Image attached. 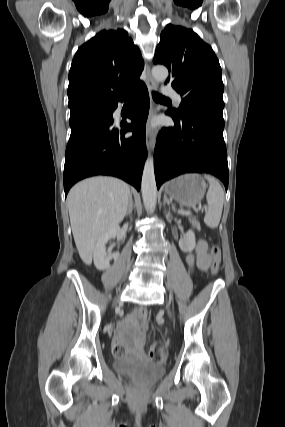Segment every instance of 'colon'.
<instances>
[{"instance_id":"colon-1","label":"colon","mask_w":285,"mask_h":427,"mask_svg":"<svg viewBox=\"0 0 285 427\" xmlns=\"http://www.w3.org/2000/svg\"><path fill=\"white\" fill-rule=\"evenodd\" d=\"M211 255V273L217 274L220 268V262H221V250L219 246L214 245L211 248L210 251ZM113 352L118 357H124L126 354V348L120 341H116L113 346ZM149 355L150 358L158 363H161L165 359V349L162 343L160 342H154L151 344L149 348Z\"/></svg>"}]
</instances>
